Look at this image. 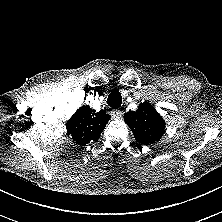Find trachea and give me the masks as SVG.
<instances>
[{
    "instance_id": "trachea-1",
    "label": "trachea",
    "mask_w": 222,
    "mask_h": 222,
    "mask_svg": "<svg viewBox=\"0 0 222 222\" xmlns=\"http://www.w3.org/2000/svg\"><path fill=\"white\" fill-rule=\"evenodd\" d=\"M122 103V96L119 91L112 90V92L109 94L107 99V104L113 108L117 109L121 106Z\"/></svg>"
}]
</instances>
